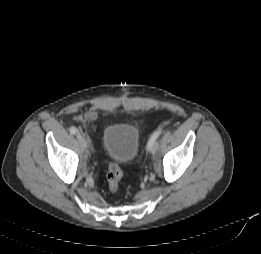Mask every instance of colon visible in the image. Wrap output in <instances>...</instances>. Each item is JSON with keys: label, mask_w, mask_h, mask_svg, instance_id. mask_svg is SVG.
<instances>
[{"label": "colon", "mask_w": 261, "mask_h": 254, "mask_svg": "<svg viewBox=\"0 0 261 254\" xmlns=\"http://www.w3.org/2000/svg\"><path fill=\"white\" fill-rule=\"evenodd\" d=\"M122 177L123 171L120 165L116 162H111L108 166L106 179L108 188L112 193L118 191Z\"/></svg>", "instance_id": "5ec220e1"}]
</instances>
